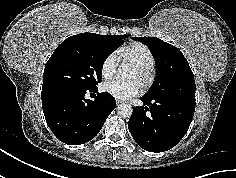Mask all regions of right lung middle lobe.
Returning <instances> with one entry per match:
<instances>
[{
    "instance_id": "1",
    "label": "right lung middle lobe",
    "mask_w": 236,
    "mask_h": 178,
    "mask_svg": "<svg viewBox=\"0 0 236 178\" xmlns=\"http://www.w3.org/2000/svg\"><path fill=\"white\" fill-rule=\"evenodd\" d=\"M127 35L78 34L64 40L46 63L44 87L63 86L78 90L94 89L101 82L107 56Z\"/></svg>"
}]
</instances>
